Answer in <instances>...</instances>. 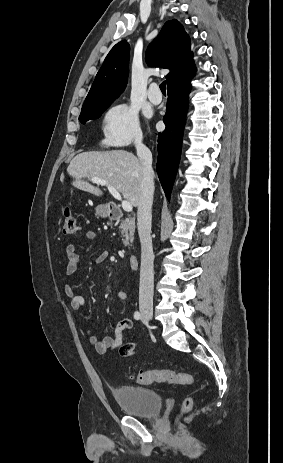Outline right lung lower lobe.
I'll return each mask as SVG.
<instances>
[{
  "mask_svg": "<svg viewBox=\"0 0 283 463\" xmlns=\"http://www.w3.org/2000/svg\"><path fill=\"white\" fill-rule=\"evenodd\" d=\"M190 80L167 87V112L163 118L166 125L158 136L157 173L167 199L177 172L181 153L182 134L188 107Z\"/></svg>",
  "mask_w": 283,
  "mask_h": 463,
  "instance_id": "obj_1",
  "label": "right lung lower lobe"
}]
</instances>
